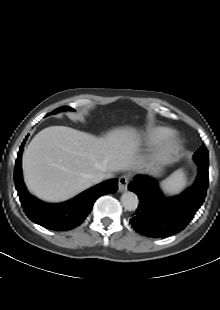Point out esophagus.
I'll return each instance as SVG.
<instances>
[{"label": "esophagus", "instance_id": "34e87169", "mask_svg": "<svg viewBox=\"0 0 220 310\" xmlns=\"http://www.w3.org/2000/svg\"><path fill=\"white\" fill-rule=\"evenodd\" d=\"M128 182H129V178L127 175H122L119 177L118 179V190L120 192H124L127 190V186H128Z\"/></svg>", "mask_w": 220, "mask_h": 310}]
</instances>
